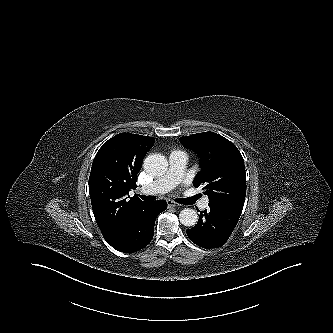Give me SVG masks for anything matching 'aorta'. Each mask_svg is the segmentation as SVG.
I'll return each mask as SVG.
<instances>
[{
  "instance_id": "obj_1",
  "label": "aorta",
  "mask_w": 333,
  "mask_h": 333,
  "mask_svg": "<svg viewBox=\"0 0 333 333\" xmlns=\"http://www.w3.org/2000/svg\"><path fill=\"white\" fill-rule=\"evenodd\" d=\"M143 167L150 176L159 177L166 173L168 161L161 154H151L145 158ZM179 220L184 226H194L198 221L197 212L191 208H185L180 212Z\"/></svg>"
}]
</instances>
